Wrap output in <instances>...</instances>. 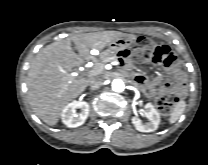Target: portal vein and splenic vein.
Here are the masks:
<instances>
[{"label":"portal vein and splenic vein","mask_w":208,"mask_h":165,"mask_svg":"<svg viewBox=\"0 0 208 165\" xmlns=\"http://www.w3.org/2000/svg\"><path fill=\"white\" fill-rule=\"evenodd\" d=\"M98 72H99L98 69H93V70H91V71L89 72L88 75H94V74H97ZM73 75H75V73H73Z\"/></svg>","instance_id":"18ae733b"}]
</instances>
